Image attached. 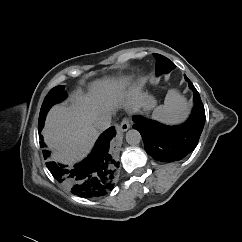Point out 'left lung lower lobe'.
Listing matches in <instances>:
<instances>
[{
  "label": "left lung lower lobe",
  "mask_w": 242,
  "mask_h": 242,
  "mask_svg": "<svg viewBox=\"0 0 242 242\" xmlns=\"http://www.w3.org/2000/svg\"><path fill=\"white\" fill-rule=\"evenodd\" d=\"M194 92V108L189 119L180 126H166L142 116H135L134 129H137L144 141L146 152L161 162L182 160L195 149L205 124V110L198 91L185 76Z\"/></svg>",
  "instance_id": "1"
}]
</instances>
